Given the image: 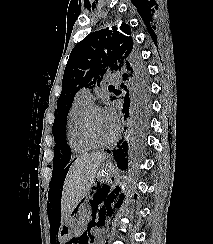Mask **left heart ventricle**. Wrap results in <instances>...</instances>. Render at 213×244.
<instances>
[{
  "mask_svg": "<svg viewBox=\"0 0 213 244\" xmlns=\"http://www.w3.org/2000/svg\"><path fill=\"white\" fill-rule=\"evenodd\" d=\"M90 128L93 135L99 140L109 139L114 132V126L108 123L103 110L92 111L90 115Z\"/></svg>",
  "mask_w": 213,
  "mask_h": 244,
  "instance_id": "b2bd125f",
  "label": "left heart ventricle"
}]
</instances>
